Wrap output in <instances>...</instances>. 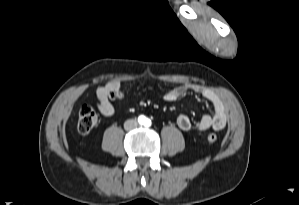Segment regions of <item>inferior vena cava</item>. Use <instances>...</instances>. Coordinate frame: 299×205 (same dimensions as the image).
Wrapping results in <instances>:
<instances>
[{"label": "inferior vena cava", "instance_id": "inferior-vena-cava-1", "mask_svg": "<svg viewBox=\"0 0 299 205\" xmlns=\"http://www.w3.org/2000/svg\"><path fill=\"white\" fill-rule=\"evenodd\" d=\"M138 123L134 119H129L124 123V129L127 131L133 130L137 127Z\"/></svg>", "mask_w": 299, "mask_h": 205}]
</instances>
